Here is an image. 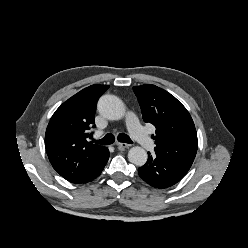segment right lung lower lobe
Wrapping results in <instances>:
<instances>
[{"label":"right lung lower lobe","mask_w":248,"mask_h":248,"mask_svg":"<svg viewBox=\"0 0 248 248\" xmlns=\"http://www.w3.org/2000/svg\"><path fill=\"white\" fill-rule=\"evenodd\" d=\"M109 158V151L107 149V152L105 153V155L102 157V159L94 166V168L82 179H80L79 181L75 182L76 184H80V183H87L92 181L93 179H95L96 177H98L102 170L104 169L107 161Z\"/></svg>","instance_id":"1"}]
</instances>
